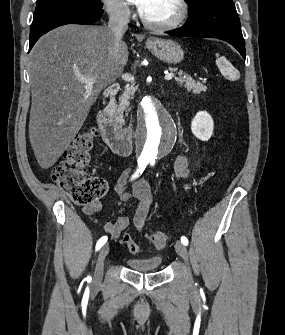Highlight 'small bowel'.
I'll list each match as a JSON object with an SVG mask.
<instances>
[{
    "instance_id": "c3829d8e",
    "label": "small bowel",
    "mask_w": 285,
    "mask_h": 335,
    "mask_svg": "<svg viewBox=\"0 0 285 335\" xmlns=\"http://www.w3.org/2000/svg\"><path fill=\"white\" fill-rule=\"evenodd\" d=\"M174 172L178 178L185 177L190 172V163L187 156H179L174 163ZM132 174L130 169H125L116 185L115 192L119 199L127 202L134 198L137 201V208L133 217V225L137 232L141 231L151 211L152 192L150 185L143 179L136 180L131 191L126 190L125 185ZM132 177V176H131ZM101 209V203L95 201L89 205H85L82 211L86 215H93ZM130 219L127 216H119L115 221L106 222L103 226L104 231L112 238H118L122 232L129 226Z\"/></svg>"
}]
</instances>
